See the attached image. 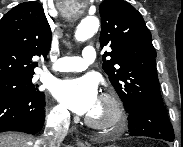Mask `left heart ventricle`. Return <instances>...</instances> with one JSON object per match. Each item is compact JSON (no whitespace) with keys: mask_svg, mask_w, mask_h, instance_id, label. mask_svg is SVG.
<instances>
[{"mask_svg":"<svg viewBox=\"0 0 183 147\" xmlns=\"http://www.w3.org/2000/svg\"><path fill=\"white\" fill-rule=\"evenodd\" d=\"M88 115L99 121H106L111 117V111L109 106L99 99L93 110Z\"/></svg>","mask_w":183,"mask_h":147,"instance_id":"obj_1","label":"left heart ventricle"}]
</instances>
